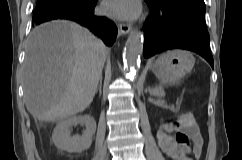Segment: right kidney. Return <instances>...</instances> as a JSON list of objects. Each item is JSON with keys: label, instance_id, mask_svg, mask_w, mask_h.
Instances as JSON below:
<instances>
[{"label": "right kidney", "instance_id": "obj_1", "mask_svg": "<svg viewBox=\"0 0 242 160\" xmlns=\"http://www.w3.org/2000/svg\"><path fill=\"white\" fill-rule=\"evenodd\" d=\"M77 124L84 125L86 129L80 136H71L69 129ZM95 131L96 122L92 116H74L58 123L52 134V141L60 150L80 153L91 146Z\"/></svg>", "mask_w": 242, "mask_h": 160}]
</instances>
